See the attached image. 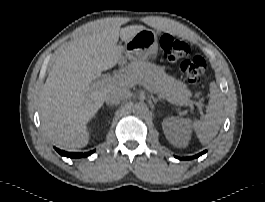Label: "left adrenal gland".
<instances>
[{
  "label": "left adrenal gland",
  "instance_id": "a2214340",
  "mask_svg": "<svg viewBox=\"0 0 265 202\" xmlns=\"http://www.w3.org/2000/svg\"><path fill=\"white\" fill-rule=\"evenodd\" d=\"M158 101H160V99L153 98V102H154L155 104H157Z\"/></svg>",
  "mask_w": 265,
  "mask_h": 202
}]
</instances>
